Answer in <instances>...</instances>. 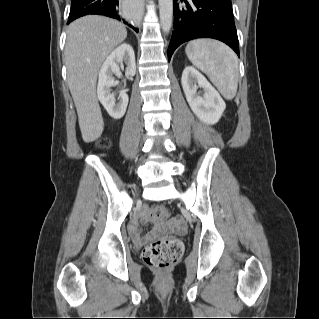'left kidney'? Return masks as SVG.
I'll list each match as a JSON object with an SVG mask.
<instances>
[{"label":"left kidney","mask_w":319,"mask_h":319,"mask_svg":"<svg viewBox=\"0 0 319 319\" xmlns=\"http://www.w3.org/2000/svg\"><path fill=\"white\" fill-rule=\"evenodd\" d=\"M181 83L193 113L204 123L216 124L226 104L214 87L192 66L184 69ZM198 88H202L203 91L198 92Z\"/></svg>","instance_id":"5707ae66"}]
</instances>
